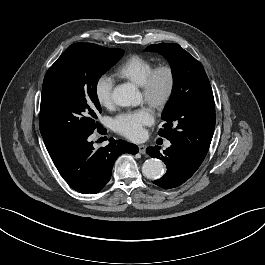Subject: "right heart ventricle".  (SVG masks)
<instances>
[{"label":"right heart ventricle","mask_w":265,"mask_h":265,"mask_svg":"<svg viewBox=\"0 0 265 265\" xmlns=\"http://www.w3.org/2000/svg\"><path fill=\"white\" fill-rule=\"evenodd\" d=\"M154 68V62L141 55H131L118 67L117 76L143 86L148 74Z\"/></svg>","instance_id":"right-heart-ventricle-1"}]
</instances>
